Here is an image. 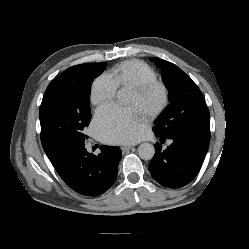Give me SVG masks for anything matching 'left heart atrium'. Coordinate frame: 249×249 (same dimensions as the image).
<instances>
[{"label":"left heart atrium","instance_id":"left-heart-atrium-1","mask_svg":"<svg viewBox=\"0 0 249 249\" xmlns=\"http://www.w3.org/2000/svg\"><path fill=\"white\" fill-rule=\"evenodd\" d=\"M94 129L103 142L132 143L142 137L143 121L135 109H122L110 104L96 111Z\"/></svg>","mask_w":249,"mask_h":249}]
</instances>
